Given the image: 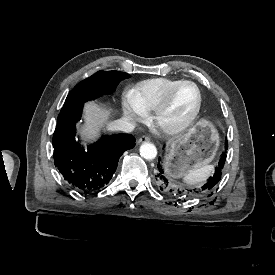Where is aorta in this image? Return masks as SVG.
Returning a JSON list of instances; mask_svg holds the SVG:
<instances>
[{"mask_svg":"<svg viewBox=\"0 0 275 275\" xmlns=\"http://www.w3.org/2000/svg\"><path fill=\"white\" fill-rule=\"evenodd\" d=\"M140 155L147 160L154 159L157 156L156 146L150 142L141 144Z\"/></svg>","mask_w":275,"mask_h":275,"instance_id":"1","label":"aorta"}]
</instances>
